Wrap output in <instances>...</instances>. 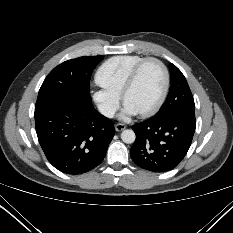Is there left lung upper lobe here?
<instances>
[{
	"mask_svg": "<svg viewBox=\"0 0 233 233\" xmlns=\"http://www.w3.org/2000/svg\"><path fill=\"white\" fill-rule=\"evenodd\" d=\"M171 72V87L166 101L152 119L160 120L179 112H195V103L182 72L172 63L169 64Z\"/></svg>",
	"mask_w": 233,
	"mask_h": 233,
	"instance_id": "left-lung-upper-lobe-1",
	"label": "left lung upper lobe"
}]
</instances>
